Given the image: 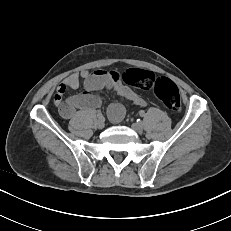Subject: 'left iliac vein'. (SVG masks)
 <instances>
[{
    "instance_id": "1",
    "label": "left iliac vein",
    "mask_w": 231,
    "mask_h": 231,
    "mask_svg": "<svg viewBox=\"0 0 231 231\" xmlns=\"http://www.w3.org/2000/svg\"><path fill=\"white\" fill-rule=\"evenodd\" d=\"M131 128L135 131V132H142L143 131V126L141 123L135 122L131 125Z\"/></svg>"
}]
</instances>
